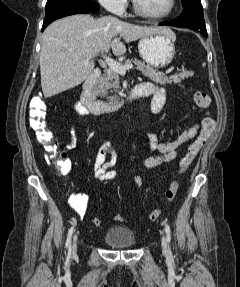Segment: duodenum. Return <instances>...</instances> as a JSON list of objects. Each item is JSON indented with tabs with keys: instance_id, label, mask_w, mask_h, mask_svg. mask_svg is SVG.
<instances>
[{
	"instance_id": "1",
	"label": "duodenum",
	"mask_w": 240,
	"mask_h": 287,
	"mask_svg": "<svg viewBox=\"0 0 240 287\" xmlns=\"http://www.w3.org/2000/svg\"><path fill=\"white\" fill-rule=\"evenodd\" d=\"M100 76V70L95 69L82 83L81 102L93 114L113 112L121 108L126 102L145 97V94L136 86L125 98L116 101H103L96 97L94 84Z\"/></svg>"
}]
</instances>
